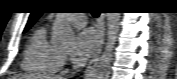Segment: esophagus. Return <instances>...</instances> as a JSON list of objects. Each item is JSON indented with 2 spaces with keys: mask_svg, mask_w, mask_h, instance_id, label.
Masks as SVG:
<instances>
[{
  "mask_svg": "<svg viewBox=\"0 0 177 79\" xmlns=\"http://www.w3.org/2000/svg\"><path fill=\"white\" fill-rule=\"evenodd\" d=\"M104 15L100 14L97 20V28L99 32V44L96 52L94 53L92 59L90 60L85 72H84V79H93L98 61L100 58V54L102 52L103 44H104Z\"/></svg>",
  "mask_w": 177,
  "mask_h": 79,
  "instance_id": "obj_1",
  "label": "esophagus"
}]
</instances>
